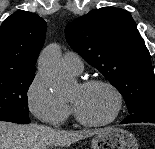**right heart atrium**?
Here are the masks:
<instances>
[{
	"instance_id": "obj_1",
	"label": "right heart atrium",
	"mask_w": 155,
	"mask_h": 149,
	"mask_svg": "<svg viewBox=\"0 0 155 149\" xmlns=\"http://www.w3.org/2000/svg\"><path fill=\"white\" fill-rule=\"evenodd\" d=\"M26 98L30 111L44 123L60 126L70 115L69 106L54 96L40 73H37L30 82Z\"/></svg>"
}]
</instances>
